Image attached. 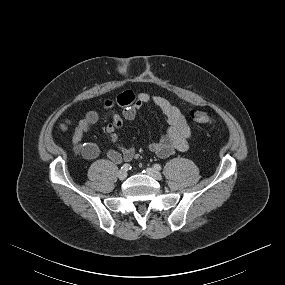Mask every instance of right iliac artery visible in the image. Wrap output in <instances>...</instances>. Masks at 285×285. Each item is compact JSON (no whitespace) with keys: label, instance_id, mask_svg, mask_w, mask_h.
Returning a JSON list of instances; mask_svg holds the SVG:
<instances>
[{"label":"right iliac artery","instance_id":"right-iliac-artery-1","mask_svg":"<svg viewBox=\"0 0 285 285\" xmlns=\"http://www.w3.org/2000/svg\"><path fill=\"white\" fill-rule=\"evenodd\" d=\"M122 170L124 171H128L129 169H131L130 165L129 164H124L122 167H121Z\"/></svg>","mask_w":285,"mask_h":285}]
</instances>
